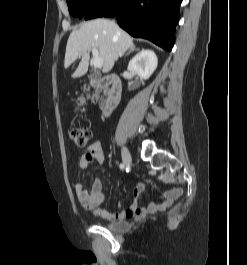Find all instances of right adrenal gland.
<instances>
[{"label":"right adrenal gland","instance_id":"1","mask_svg":"<svg viewBox=\"0 0 247 265\" xmlns=\"http://www.w3.org/2000/svg\"><path fill=\"white\" fill-rule=\"evenodd\" d=\"M139 49L135 48V46H132L129 51L126 53V55H129L130 53L134 52V51H138Z\"/></svg>","mask_w":247,"mask_h":265}]
</instances>
